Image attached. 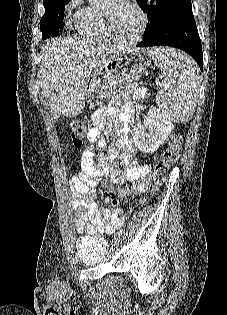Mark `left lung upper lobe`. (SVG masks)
Wrapping results in <instances>:
<instances>
[{"mask_svg": "<svg viewBox=\"0 0 227 315\" xmlns=\"http://www.w3.org/2000/svg\"><path fill=\"white\" fill-rule=\"evenodd\" d=\"M138 5L147 13L150 24L145 33L156 24L175 14L192 10L190 0H136Z\"/></svg>", "mask_w": 227, "mask_h": 315, "instance_id": "obj_1", "label": "left lung upper lobe"}]
</instances>
